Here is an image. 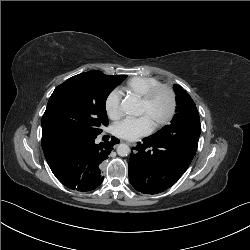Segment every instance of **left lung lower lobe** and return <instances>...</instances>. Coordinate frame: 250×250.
Returning <instances> with one entry per match:
<instances>
[{
	"label": "left lung lower lobe",
	"mask_w": 250,
	"mask_h": 250,
	"mask_svg": "<svg viewBox=\"0 0 250 250\" xmlns=\"http://www.w3.org/2000/svg\"><path fill=\"white\" fill-rule=\"evenodd\" d=\"M200 122L176 127L168 135H151L133 147L129 160V180L144 194L163 192L184 174L198 146Z\"/></svg>",
	"instance_id": "obj_1"
}]
</instances>
